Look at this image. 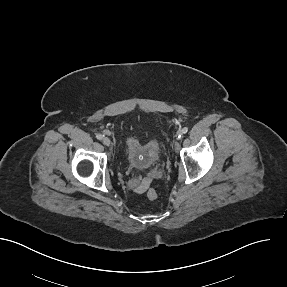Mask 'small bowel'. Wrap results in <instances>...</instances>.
Here are the masks:
<instances>
[{"label": "small bowel", "mask_w": 287, "mask_h": 287, "mask_svg": "<svg viewBox=\"0 0 287 287\" xmlns=\"http://www.w3.org/2000/svg\"><path fill=\"white\" fill-rule=\"evenodd\" d=\"M145 189H146V184L145 183H141L138 186H136V188H135L136 192H138V193L144 192Z\"/></svg>", "instance_id": "small-bowel-1"}]
</instances>
